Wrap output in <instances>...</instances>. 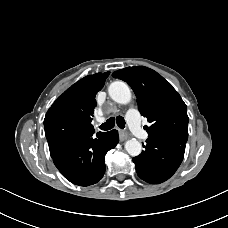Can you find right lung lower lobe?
I'll return each mask as SVG.
<instances>
[{
  "mask_svg": "<svg viewBox=\"0 0 228 228\" xmlns=\"http://www.w3.org/2000/svg\"><path fill=\"white\" fill-rule=\"evenodd\" d=\"M80 132L57 145L49 146L58 170L73 184L89 186L105 173V155L118 141V131Z\"/></svg>",
  "mask_w": 228,
  "mask_h": 228,
  "instance_id": "right-lung-lower-lobe-1",
  "label": "right lung lower lobe"
}]
</instances>
